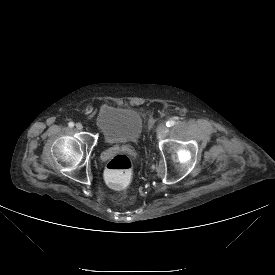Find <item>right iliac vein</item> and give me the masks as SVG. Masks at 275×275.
Wrapping results in <instances>:
<instances>
[{
    "instance_id": "obj_1",
    "label": "right iliac vein",
    "mask_w": 275,
    "mask_h": 275,
    "mask_svg": "<svg viewBox=\"0 0 275 275\" xmlns=\"http://www.w3.org/2000/svg\"><path fill=\"white\" fill-rule=\"evenodd\" d=\"M75 127L78 129V130H82L83 129V125L81 123H76L75 124Z\"/></svg>"
}]
</instances>
